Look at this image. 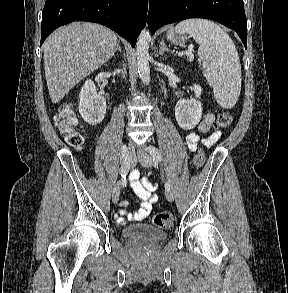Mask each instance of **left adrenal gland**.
Listing matches in <instances>:
<instances>
[{"mask_svg": "<svg viewBox=\"0 0 288 293\" xmlns=\"http://www.w3.org/2000/svg\"><path fill=\"white\" fill-rule=\"evenodd\" d=\"M160 45H161L160 50H159V54H160V55H163V53L166 52V51H167V52L174 53V51H171L170 49H168V48L166 47L164 41H162Z\"/></svg>", "mask_w": 288, "mask_h": 293, "instance_id": "left-adrenal-gland-1", "label": "left adrenal gland"}]
</instances>
